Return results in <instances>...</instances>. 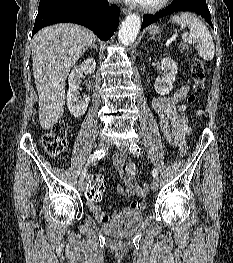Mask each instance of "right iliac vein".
Segmentation results:
<instances>
[{
	"label": "right iliac vein",
	"mask_w": 233,
	"mask_h": 263,
	"mask_svg": "<svg viewBox=\"0 0 233 263\" xmlns=\"http://www.w3.org/2000/svg\"><path fill=\"white\" fill-rule=\"evenodd\" d=\"M109 145H110V143H109V141L106 140V139H101V140L98 142V148H100V149H106V148L109 147ZM85 188H86V183H85V181L82 180V179H80V180H79V189H80L81 191H84Z\"/></svg>",
	"instance_id": "obj_1"
}]
</instances>
